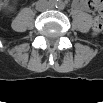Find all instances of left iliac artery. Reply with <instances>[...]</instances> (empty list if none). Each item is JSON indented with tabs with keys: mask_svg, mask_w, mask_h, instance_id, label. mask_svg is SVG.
I'll use <instances>...</instances> for the list:
<instances>
[{
	"mask_svg": "<svg viewBox=\"0 0 103 103\" xmlns=\"http://www.w3.org/2000/svg\"><path fill=\"white\" fill-rule=\"evenodd\" d=\"M56 7L63 10L65 8V4L62 1H58Z\"/></svg>",
	"mask_w": 103,
	"mask_h": 103,
	"instance_id": "1",
	"label": "left iliac artery"
}]
</instances>
